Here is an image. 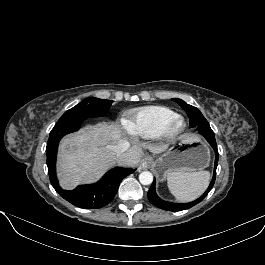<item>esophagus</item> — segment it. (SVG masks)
Segmentation results:
<instances>
[{
    "instance_id": "1",
    "label": "esophagus",
    "mask_w": 265,
    "mask_h": 265,
    "mask_svg": "<svg viewBox=\"0 0 265 265\" xmlns=\"http://www.w3.org/2000/svg\"><path fill=\"white\" fill-rule=\"evenodd\" d=\"M152 164V160L151 159H148V158H145L142 160V163H141V169H147L150 167V165Z\"/></svg>"
}]
</instances>
